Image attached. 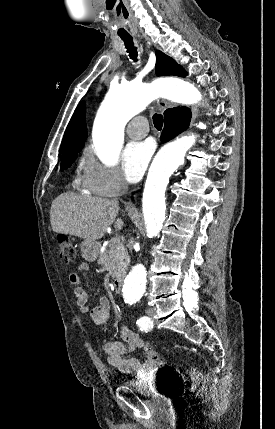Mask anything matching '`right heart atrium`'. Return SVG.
<instances>
[{
	"label": "right heart atrium",
	"mask_w": 275,
	"mask_h": 429,
	"mask_svg": "<svg viewBox=\"0 0 275 429\" xmlns=\"http://www.w3.org/2000/svg\"><path fill=\"white\" fill-rule=\"evenodd\" d=\"M82 180L88 191L104 197L117 196L126 187L116 167L103 164L89 151L84 154Z\"/></svg>",
	"instance_id": "right-heart-atrium-1"
}]
</instances>
